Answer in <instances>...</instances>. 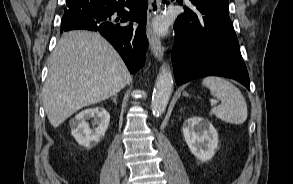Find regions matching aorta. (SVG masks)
<instances>
[{"mask_svg": "<svg viewBox=\"0 0 293 184\" xmlns=\"http://www.w3.org/2000/svg\"><path fill=\"white\" fill-rule=\"evenodd\" d=\"M173 91V76L171 70L164 63L156 79L152 96L151 110L154 115H162L167 107Z\"/></svg>", "mask_w": 293, "mask_h": 184, "instance_id": "obj_1", "label": "aorta"}]
</instances>
